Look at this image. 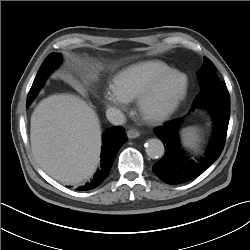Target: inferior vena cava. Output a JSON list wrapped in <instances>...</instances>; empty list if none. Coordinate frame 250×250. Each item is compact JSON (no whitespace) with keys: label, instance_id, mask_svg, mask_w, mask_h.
Wrapping results in <instances>:
<instances>
[{"label":"inferior vena cava","instance_id":"obj_1","mask_svg":"<svg viewBox=\"0 0 250 250\" xmlns=\"http://www.w3.org/2000/svg\"><path fill=\"white\" fill-rule=\"evenodd\" d=\"M106 117L113 125H122L125 123L124 114L116 108H108L106 110Z\"/></svg>","mask_w":250,"mask_h":250}]
</instances>
